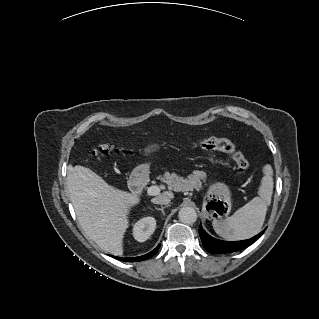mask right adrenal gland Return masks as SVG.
I'll list each match as a JSON object with an SVG mask.
<instances>
[{
    "label": "right adrenal gland",
    "instance_id": "1",
    "mask_svg": "<svg viewBox=\"0 0 319 319\" xmlns=\"http://www.w3.org/2000/svg\"><path fill=\"white\" fill-rule=\"evenodd\" d=\"M166 207H168V205H167V206H164V207L162 206L161 208L155 207V209L161 211L162 214L164 215V214H165V213H164V209H165Z\"/></svg>",
    "mask_w": 319,
    "mask_h": 319
}]
</instances>
